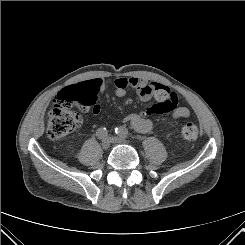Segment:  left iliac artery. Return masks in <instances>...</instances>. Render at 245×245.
I'll use <instances>...</instances> for the list:
<instances>
[{
    "mask_svg": "<svg viewBox=\"0 0 245 245\" xmlns=\"http://www.w3.org/2000/svg\"><path fill=\"white\" fill-rule=\"evenodd\" d=\"M115 133H116L118 136L122 137V138H128V137H129V132H128V130H127L126 128H124V127H117V128L115 129Z\"/></svg>",
    "mask_w": 245,
    "mask_h": 245,
    "instance_id": "1",
    "label": "left iliac artery"
}]
</instances>
